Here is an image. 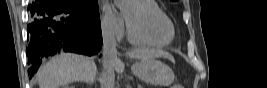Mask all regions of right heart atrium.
Instances as JSON below:
<instances>
[{
	"label": "right heart atrium",
	"mask_w": 267,
	"mask_h": 88,
	"mask_svg": "<svg viewBox=\"0 0 267 88\" xmlns=\"http://www.w3.org/2000/svg\"><path fill=\"white\" fill-rule=\"evenodd\" d=\"M101 28L104 36L110 39H120L124 34L122 21L111 15L102 18Z\"/></svg>",
	"instance_id": "right-heart-atrium-1"
}]
</instances>
